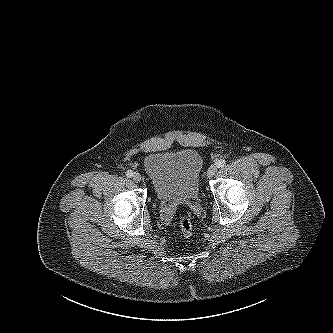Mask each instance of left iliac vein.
<instances>
[{
	"label": "left iliac vein",
	"instance_id": "obj_1",
	"mask_svg": "<svg viewBox=\"0 0 333 333\" xmlns=\"http://www.w3.org/2000/svg\"><path fill=\"white\" fill-rule=\"evenodd\" d=\"M217 166L216 165H211L210 167H209V169H208V172H207V176H208V178H211V177H213L215 174H216V172H217Z\"/></svg>",
	"mask_w": 333,
	"mask_h": 333
}]
</instances>
